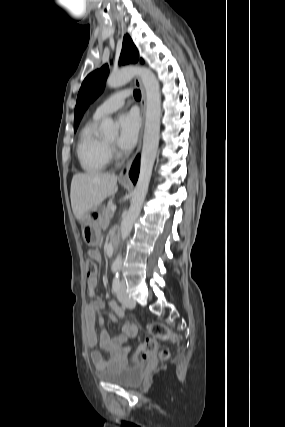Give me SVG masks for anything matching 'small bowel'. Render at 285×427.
<instances>
[{"instance_id": "c3829d8e", "label": "small bowel", "mask_w": 285, "mask_h": 427, "mask_svg": "<svg viewBox=\"0 0 285 427\" xmlns=\"http://www.w3.org/2000/svg\"><path fill=\"white\" fill-rule=\"evenodd\" d=\"M89 256L97 262L101 261V256L96 250L89 252ZM97 280L95 278L88 280V295L91 301L87 305L85 312V337L86 343L89 347L93 348L97 345L104 351L108 352L109 359L105 360L101 352L92 351L90 354L91 361L98 371L106 368H117L126 364L127 356L132 351V347L123 348L122 345L126 342L127 337L135 336L137 328L133 324L124 321L122 310L116 305L115 302H105L103 300L95 299V288ZM110 307L115 315H108L114 322H122L121 331L117 334L111 335L104 327L102 321L101 310L105 307ZM98 324L99 331L96 330Z\"/></svg>"}]
</instances>
